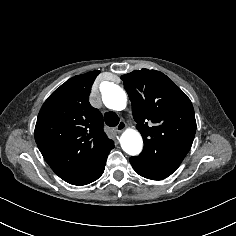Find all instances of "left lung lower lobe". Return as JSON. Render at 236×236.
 Returning a JSON list of instances; mask_svg holds the SVG:
<instances>
[{
  "mask_svg": "<svg viewBox=\"0 0 236 236\" xmlns=\"http://www.w3.org/2000/svg\"><path fill=\"white\" fill-rule=\"evenodd\" d=\"M130 163L140 176L151 180H162L179 167L178 164L153 162L139 156L131 157Z\"/></svg>",
  "mask_w": 236,
  "mask_h": 236,
  "instance_id": "left-lung-lower-lobe-1",
  "label": "left lung lower lobe"
}]
</instances>
